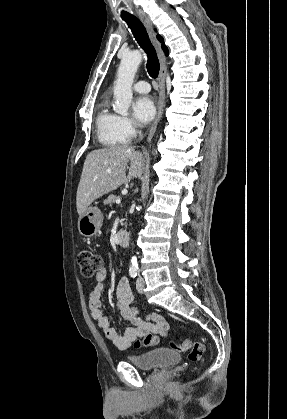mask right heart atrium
Wrapping results in <instances>:
<instances>
[{
  "instance_id": "1",
  "label": "right heart atrium",
  "mask_w": 287,
  "mask_h": 419,
  "mask_svg": "<svg viewBox=\"0 0 287 419\" xmlns=\"http://www.w3.org/2000/svg\"><path fill=\"white\" fill-rule=\"evenodd\" d=\"M119 128L121 134L127 141L133 139L138 133L136 123L126 116H119Z\"/></svg>"
}]
</instances>
